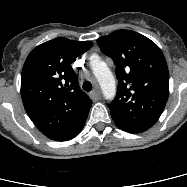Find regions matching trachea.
Wrapping results in <instances>:
<instances>
[{
  "instance_id": "trachea-1",
  "label": "trachea",
  "mask_w": 187,
  "mask_h": 187,
  "mask_svg": "<svg viewBox=\"0 0 187 187\" xmlns=\"http://www.w3.org/2000/svg\"><path fill=\"white\" fill-rule=\"evenodd\" d=\"M83 89H84L85 91H87V92L91 91V90H92V84H91V82L85 81V82L83 83Z\"/></svg>"
}]
</instances>
